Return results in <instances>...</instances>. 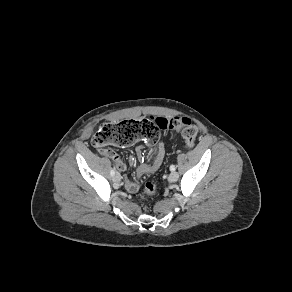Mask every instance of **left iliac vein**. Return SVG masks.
<instances>
[{
    "label": "left iliac vein",
    "instance_id": "1",
    "mask_svg": "<svg viewBox=\"0 0 292 292\" xmlns=\"http://www.w3.org/2000/svg\"><path fill=\"white\" fill-rule=\"evenodd\" d=\"M179 174L176 171L170 173L168 180L170 182H176L178 180Z\"/></svg>",
    "mask_w": 292,
    "mask_h": 292
}]
</instances>
